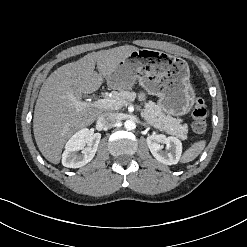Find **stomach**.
Returning <instances> with one entry per match:
<instances>
[{"label":"stomach","mask_w":247,"mask_h":247,"mask_svg":"<svg viewBox=\"0 0 247 247\" xmlns=\"http://www.w3.org/2000/svg\"><path fill=\"white\" fill-rule=\"evenodd\" d=\"M136 81L149 94L159 97V105L168 115H186L194 104L189 66L180 58L138 49L122 60L107 79L109 87L115 90L131 89Z\"/></svg>","instance_id":"stomach-1"}]
</instances>
